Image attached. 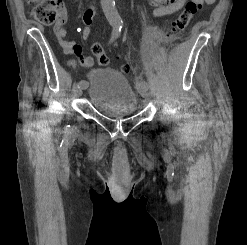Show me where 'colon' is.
<instances>
[{"mask_svg": "<svg viewBox=\"0 0 247 245\" xmlns=\"http://www.w3.org/2000/svg\"><path fill=\"white\" fill-rule=\"evenodd\" d=\"M31 5V13L33 17L44 25H52L59 19V7L60 0H26ZM201 8V4L198 0H190L184 9L176 16L169 28L166 31V40H172L177 34L182 32L195 13ZM93 53L98 58V63L101 66H107L109 64V58L101 52L100 45L98 43L92 46ZM122 71L128 73L130 68L128 65L122 66Z\"/></svg>", "mask_w": 247, "mask_h": 245, "instance_id": "obj_1", "label": "colon"}]
</instances>
